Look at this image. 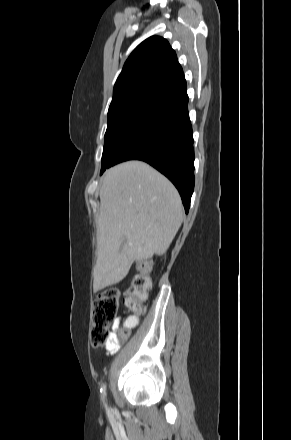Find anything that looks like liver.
Masks as SVG:
<instances>
[{
    "mask_svg": "<svg viewBox=\"0 0 291 440\" xmlns=\"http://www.w3.org/2000/svg\"><path fill=\"white\" fill-rule=\"evenodd\" d=\"M99 196L95 292L123 280L135 260L163 255L183 221L176 188L142 161L108 169Z\"/></svg>",
    "mask_w": 291,
    "mask_h": 440,
    "instance_id": "obj_1",
    "label": "liver"
}]
</instances>
